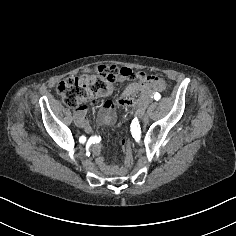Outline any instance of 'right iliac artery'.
Instances as JSON below:
<instances>
[{
  "label": "right iliac artery",
  "mask_w": 236,
  "mask_h": 236,
  "mask_svg": "<svg viewBox=\"0 0 236 236\" xmlns=\"http://www.w3.org/2000/svg\"><path fill=\"white\" fill-rule=\"evenodd\" d=\"M79 141H80V143H85L86 137H85V136H81V137L79 138Z\"/></svg>",
  "instance_id": "1"
}]
</instances>
